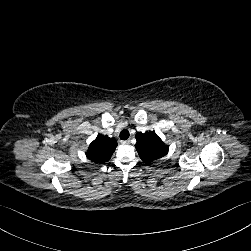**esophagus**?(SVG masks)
Segmentation results:
<instances>
[{
  "instance_id": "obj_1",
  "label": "esophagus",
  "mask_w": 251,
  "mask_h": 251,
  "mask_svg": "<svg viewBox=\"0 0 251 251\" xmlns=\"http://www.w3.org/2000/svg\"><path fill=\"white\" fill-rule=\"evenodd\" d=\"M120 143H121V144H129L130 141H129V140H121Z\"/></svg>"
}]
</instances>
